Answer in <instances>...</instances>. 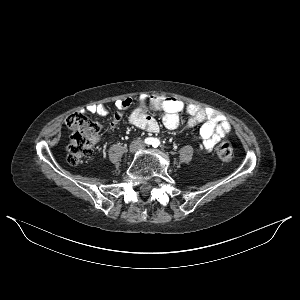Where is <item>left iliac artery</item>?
Listing matches in <instances>:
<instances>
[{"mask_svg": "<svg viewBox=\"0 0 300 300\" xmlns=\"http://www.w3.org/2000/svg\"><path fill=\"white\" fill-rule=\"evenodd\" d=\"M159 144H160L159 141H158V140H155L152 146H153L154 148H157V147L159 146Z\"/></svg>", "mask_w": 300, "mask_h": 300, "instance_id": "1", "label": "left iliac artery"}]
</instances>
